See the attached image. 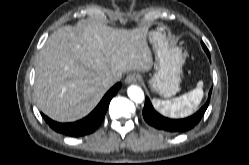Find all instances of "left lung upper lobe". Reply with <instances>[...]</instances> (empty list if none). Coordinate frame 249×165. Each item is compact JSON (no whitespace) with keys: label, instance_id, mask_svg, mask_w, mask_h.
<instances>
[{"label":"left lung upper lobe","instance_id":"left-lung-upper-lobe-1","mask_svg":"<svg viewBox=\"0 0 249 165\" xmlns=\"http://www.w3.org/2000/svg\"><path fill=\"white\" fill-rule=\"evenodd\" d=\"M201 44H202L203 49H204L205 52L207 53L208 57H210V53H209L207 47L205 46V44H204L203 42H202Z\"/></svg>","mask_w":249,"mask_h":165}]
</instances>
